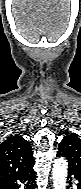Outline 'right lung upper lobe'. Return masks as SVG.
I'll return each instance as SVG.
<instances>
[{"label": "right lung upper lobe", "mask_w": 81, "mask_h": 189, "mask_svg": "<svg viewBox=\"0 0 81 189\" xmlns=\"http://www.w3.org/2000/svg\"><path fill=\"white\" fill-rule=\"evenodd\" d=\"M30 143L20 135L0 144V181L7 180L34 164Z\"/></svg>", "instance_id": "right-lung-upper-lobe-1"}]
</instances>
